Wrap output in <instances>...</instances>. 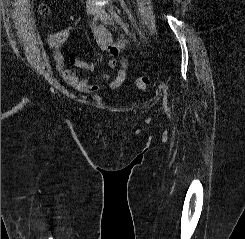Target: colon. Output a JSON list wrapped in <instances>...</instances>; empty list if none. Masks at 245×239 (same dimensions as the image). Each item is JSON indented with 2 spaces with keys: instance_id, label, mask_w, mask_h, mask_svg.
I'll list each match as a JSON object with an SVG mask.
<instances>
[{
  "instance_id": "1",
  "label": "colon",
  "mask_w": 245,
  "mask_h": 239,
  "mask_svg": "<svg viewBox=\"0 0 245 239\" xmlns=\"http://www.w3.org/2000/svg\"><path fill=\"white\" fill-rule=\"evenodd\" d=\"M40 12L42 15L48 14V8L45 5L40 6ZM59 38L57 36H54L51 38V42L54 45H57L59 43ZM150 78L148 76H140L135 81V86L139 90H146L150 86Z\"/></svg>"
}]
</instances>
